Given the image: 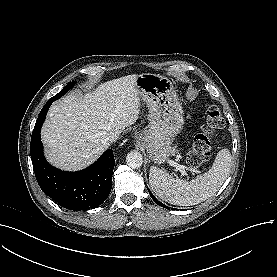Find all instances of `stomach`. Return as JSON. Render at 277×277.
Segmentation results:
<instances>
[{
	"mask_svg": "<svg viewBox=\"0 0 277 277\" xmlns=\"http://www.w3.org/2000/svg\"><path fill=\"white\" fill-rule=\"evenodd\" d=\"M136 87L149 109V129L138 136L149 158L156 164L166 162L172 154V142L184 125L183 111L169 78L144 73L138 75Z\"/></svg>",
	"mask_w": 277,
	"mask_h": 277,
	"instance_id": "1",
	"label": "stomach"
}]
</instances>
